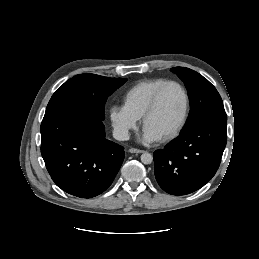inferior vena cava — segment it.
I'll return each mask as SVG.
<instances>
[{
  "mask_svg": "<svg viewBox=\"0 0 259 259\" xmlns=\"http://www.w3.org/2000/svg\"><path fill=\"white\" fill-rule=\"evenodd\" d=\"M113 137L119 141H127L130 135L127 129L117 127L113 130Z\"/></svg>",
  "mask_w": 259,
  "mask_h": 259,
  "instance_id": "inferior-vena-cava-1",
  "label": "inferior vena cava"
}]
</instances>
